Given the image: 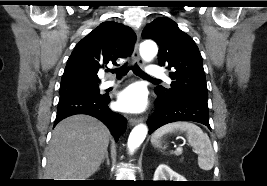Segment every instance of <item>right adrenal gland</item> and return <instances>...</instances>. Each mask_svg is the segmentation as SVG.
I'll list each match as a JSON object with an SVG mask.
<instances>
[{"label": "right adrenal gland", "mask_w": 267, "mask_h": 186, "mask_svg": "<svg viewBox=\"0 0 267 186\" xmlns=\"http://www.w3.org/2000/svg\"><path fill=\"white\" fill-rule=\"evenodd\" d=\"M105 160H106L107 165H110L108 151L105 152V156H104V158H103L101 163L103 164Z\"/></svg>", "instance_id": "2a0ac1e0"}]
</instances>
